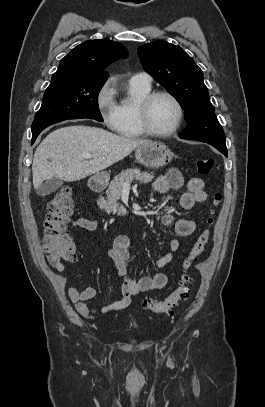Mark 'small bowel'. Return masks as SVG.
<instances>
[{"instance_id":"1","label":"small bowel","mask_w":265,"mask_h":407,"mask_svg":"<svg viewBox=\"0 0 265 407\" xmlns=\"http://www.w3.org/2000/svg\"><path fill=\"white\" fill-rule=\"evenodd\" d=\"M184 186L182 174L177 169H170L164 175L156 178L154 182L155 190L160 194H166L172 189H180ZM207 193L204 191V181L199 177L191 178L187 183V191L180 198V205L184 210H191L196 205L205 203ZM159 221L165 225L173 227L178 237H188L196 230V221L190 218L176 219L172 215L163 214L159 217ZM70 229H84L94 231L98 228V222L95 219L79 217L74 219L69 225ZM180 242L178 239H172L169 242L167 252L160 257L156 264L159 268L169 264L174 256V253L179 249ZM134 251V243L126 235H119L114 239L113 245L108 252L109 257L113 260L118 276L121 281L120 299L106 304L100 308H92L88 301L93 300L97 296V289L94 287H86L78 290L73 286L67 289L68 296L74 304L77 312L86 319H93L98 314H107L114 311H121L130 306L132 297L140 293L162 289L167 285L168 277L163 272H158L153 276L143 277L139 280L134 279L129 274V258ZM59 272L64 271V264L54 266Z\"/></svg>"}]
</instances>
